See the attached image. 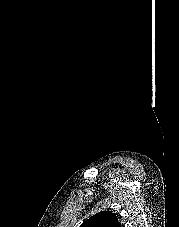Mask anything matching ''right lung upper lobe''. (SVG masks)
Segmentation results:
<instances>
[{
	"label": "right lung upper lobe",
	"mask_w": 179,
	"mask_h": 227,
	"mask_svg": "<svg viewBox=\"0 0 179 227\" xmlns=\"http://www.w3.org/2000/svg\"><path fill=\"white\" fill-rule=\"evenodd\" d=\"M80 227H122V226L114 213L110 211H102L87 219Z\"/></svg>",
	"instance_id": "cb5924a9"
}]
</instances>
